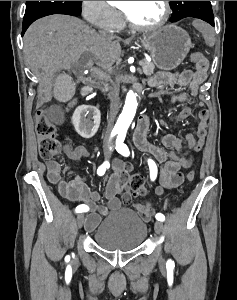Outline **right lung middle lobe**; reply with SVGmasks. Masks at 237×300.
Masks as SVG:
<instances>
[{
	"mask_svg": "<svg viewBox=\"0 0 237 300\" xmlns=\"http://www.w3.org/2000/svg\"><path fill=\"white\" fill-rule=\"evenodd\" d=\"M81 1H26V11L23 22H33L41 17L72 12L81 14Z\"/></svg>",
	"mask_w": 237,
	"mask_h": 300,
	"instance_id": "dd1d6c3e",
	"label": "right lung middle lobe"
}]
</instances>
